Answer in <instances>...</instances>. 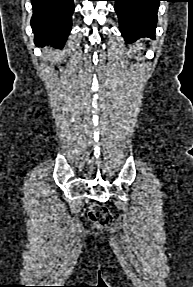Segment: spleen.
I'll return each instance as SVG.
<instances>
[{
	"instance_id": "1",
	"label": "spleen",
	"mask_w": 193,
	"mask_h": 287,
	"mask_svg": "<svg viewBox=\"0 0 193 287\" xmlns=\"http://www.w3.org/2000/svg\"><path fill=\"white\" fill-rule=\"evenodd\" d=\"M141 46H142V44L140 43V44H137V49H140L141 48Z\"/></svg>"
}]
</instances>
